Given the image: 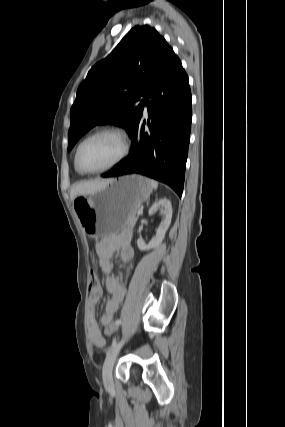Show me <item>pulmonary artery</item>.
Wrapping results in <instances>:
<instances>
[{"label": "pulmonary artery", "mask_w": 285, "mask_h": 427, "mask_svg": "<svg viewBox=\"0 0 285 427\" xmlns=\"http://www.w3.org/2000/svg\"><path fill=\"white\" fill-rule=\"evenodd\" d=\"M143 98H141V100H142ZM147 108H148V106H147V104H145L144 105V110H145V112L147 111Z\"/></svg>", "instance_id": "obj_1"}]
</instances>
